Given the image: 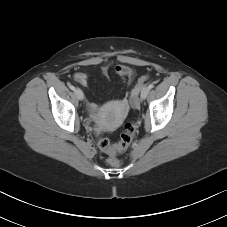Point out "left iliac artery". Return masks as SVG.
<instances>
[{
    "instance_id": "44dca946",
    "label": "left iliac artery",
    "mask_w": 227,
    "mask_h": 227,
    "mask_svg": "<svg viewBox=\"0 0 227 227\" xmlns=\"http://www.w3.org/2000/svg\"><path fill=\"white\" fill-rule=\"evenodd\" d=\"M153 87H154L153 83L149 84V86H148L149 89H152Z\"/></svg>"
}]
</instances>
